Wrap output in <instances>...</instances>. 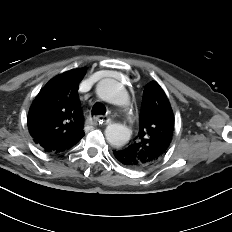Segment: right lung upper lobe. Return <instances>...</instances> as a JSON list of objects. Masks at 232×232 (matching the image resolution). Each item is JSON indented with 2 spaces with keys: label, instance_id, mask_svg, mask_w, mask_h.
Segmentation results:
<instances>
[{
  "label": "right lung upper lobe",
  "instance_id": "obj_1",
  "mask_svg": "<svg viewBox=\"0 0 232 232\" xmlns=\"http://www.w3.org/2000/svg\"><path fill=\"white\" fill-rule=\"evenodd\" d=\"M86 69L64 72L50 80L35 97L27 116L34 142L46 152L60 153L85 135L78 86Z\"/></svg>",
  "mask_w": 232,
  "mask_h": 232
}]
</instances>
